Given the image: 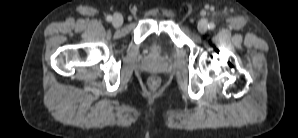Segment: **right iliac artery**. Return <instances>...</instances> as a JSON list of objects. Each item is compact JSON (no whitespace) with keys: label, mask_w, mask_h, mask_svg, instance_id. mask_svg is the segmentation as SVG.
<instances>
[{"label":"right iliac artery","mask_w":298,"mask_h":138,"mask_svg":"<svg viewBox=\"0 0 298 138\" xmlns=\"http://www.w3.org/2000/svg\"><path fill=\"white\" fill-rule=\"evenodd\" d=\"M112 19H113V18H112L111 15H108V16L106 17V20L109 21V22L112 21Z\"/></svg>","instance_id":"right-iliac-artery-1"}]
</instances>
